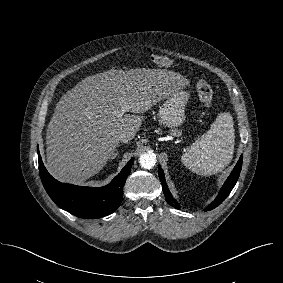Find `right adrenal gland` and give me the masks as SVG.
Masks as SVG:
<instances>
[{"label":"right adrenal gland","instance_id":"2a0ac1e0","mask_svg":"<svg viewBox=\"0 0 283 283\" xmlns=\"http://www.w3.org/2000/svg\"><path fill=\"white\" fill-rule=\"evenodd\" d=\"M116 147H118V144H116L113 148V152H112V156H111L112 159H114L119 154Z\"/></svg>","mask_w":283,"mask_h":283}]
</instances>
